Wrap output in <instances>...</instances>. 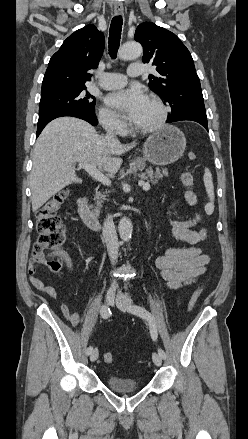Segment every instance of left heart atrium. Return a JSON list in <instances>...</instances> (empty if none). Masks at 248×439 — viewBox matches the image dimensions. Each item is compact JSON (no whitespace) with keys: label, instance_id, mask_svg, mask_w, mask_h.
<instances>
[{"label":"left heart atrium","instance_id":"1","mask_svg":"<svg viewBox=\"0 0 248 439\" xmlns=\"http://www.w3.org/2000/svg\"><path fill=\"white\" fill-rule=\"evenodd\" d=\"M147 101L146 95L139 87L119 90L109 94L106 98L108 105L121 111L132 121L139 117Z\"/></svg>","mask_w":248,"mask_h":439}]
</instances>
